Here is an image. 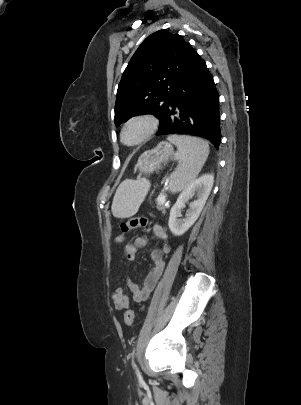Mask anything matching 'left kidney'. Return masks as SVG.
Masks as SVG:
<instances>
[{
  "label": "left kidney",
  "mask_w": 301,
  "mask_h": 405,
  "mask_svg": "<svg viewBox=\"0 0 301 405\" xmlns=\"http://www.w3.org/2000/svg\"><path fill=\"white\" fill-rule=\"evenodd\" d=\"M214 177L211 174H205L195 181L191 182L185 190L179 195L176 203L170 210L168 226L175 236L183 235L198 219L206 200L213 187ZM197 193V200L190 204L184 221L178 220L181 209L184 204Z\"/></svg>",
  "instance_id": "obj_1"
}]
</instances>
